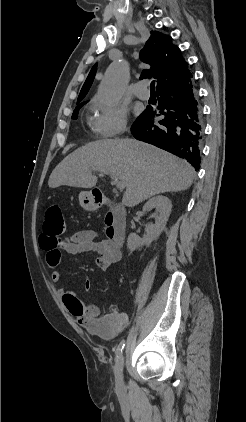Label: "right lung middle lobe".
Listing matches in <instances>:
<instances>
[{"label":"right lung middle lobe","mask_w":246,"mask_h":422,"mask_svg":"<svg viewBox=\"0 0 246 422\" xmlns=\"http://www.w3.org/2000/svg\"><path fill=\"white\" fill-rule=\"evenodd\" d=\"M83 105H84V104L79 105V106H77V107L74 109V112H73V114H72V118H73V119H77L79 109H80Z\"/></svg>","instance_id":"dd1d6c3e"}]
</instances>
